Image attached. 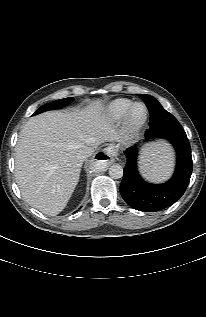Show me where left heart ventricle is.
Listing matches in <instances>:
<instances>
[{
    "mask_svg": "<svg viewBox=\"0 0 206 317\" xmlns=\"http://www.w3.org/2000/svg\"><path fill=\"white\" fill-rule=\"evenodd\" d=\"M142 112H143V109H142V108H139L136 113H137V115H141Z\"/></svg>",
    "mask_w": 206,
    "mask_h": 317,
    "instance_id": "left-heart-ventricle-1",
    "label": "left heart ventricle"
}]
</instances>
